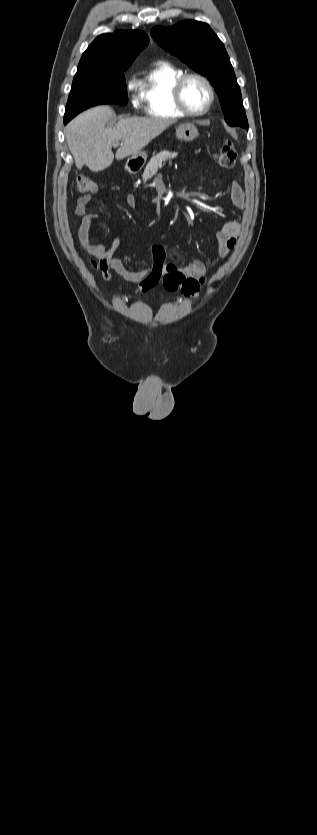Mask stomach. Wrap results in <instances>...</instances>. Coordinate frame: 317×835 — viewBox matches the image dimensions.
<instances>
[{
	"mask_svg": "<svg viewBox=\"0 0 317 835\" xmlns=\"http://www.w3.org/2000/svg\"><path fill=\"white\" fill-rule=\"evenodd\" d=\"M198 135L199 132L197 128L195 127V125L191 123H183L176 128V137L184 142H191L195 140L198 137ZM147 156L148 155L145 151H140L138 154L132 155L128 159V163L131 161H136L137 164L142 165L146 162Z\"/></svg>",
	"mask_w": 317,
	"mask_h": 835,
	"instance_id": "stomach-1",
	"label": "stomach"
}]
</instances>
